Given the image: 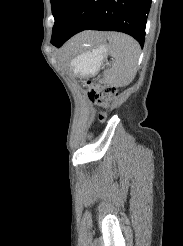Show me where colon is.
Masks as SVG:
<instances>
[{"mask_svg": "<svg viewBox=\"0 0 183 246\" xmlns=\"http://www.w3.org/2000/svg\"><path fill=\"white\" fill-rule=\"evenodd\" d=\"M88 89L89 100L98 106L106 107L109 100L112 99L116 93L115 88L108 85H101L88 80L86 82ZM100 119L105 118V113L99 114Z\"/></svg>", "mask_w": 183, "mask_h": 246, "instance_id": "colon-1", "label": "colon"}]
</instances>
